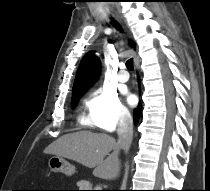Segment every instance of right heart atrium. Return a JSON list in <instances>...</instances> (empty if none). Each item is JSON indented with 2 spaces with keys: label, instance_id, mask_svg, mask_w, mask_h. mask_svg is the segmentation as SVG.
<instances>
[{
  "label": "right heart atrium",
  "instance_id": "right-heart-atrium-1",
  "mask_svg": "<svg viewBox=\"0 0 210 191\" xmlns=\"http://www.w3.org/2000/svg\"><path fill=\"white\" fill-rule=\"evenodd\" d=\"M86 107L91 123L105 132H113L131 119L129 110L121 102L117 92L109 88L94 90L86 101Z\"/></svg>",
  "mask_w": 210,
  "mask_h": 191
}]
</instances>
